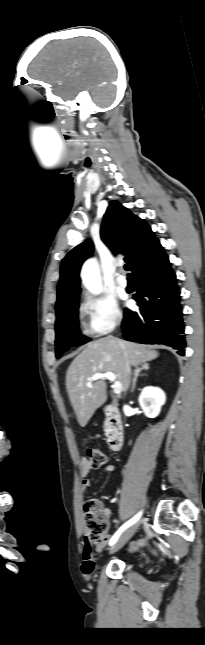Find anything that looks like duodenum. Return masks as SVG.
<instances>
[{
  "label": "duodenum",
  "mask_w": 205,
  "mask_h": 645,
  "mask_svg": "<svg viewBox=\"0 0 205 645\" xmlns=\"http://www.w3.org/2000/svg\"><path fill=\"white\" fill-rule=\"evenodd\" d=\"M104 412L107 417L108 446L112 451H119L124 441V432L120 413L113 405H106Z\"/></svg>",
  "instance_id": "obj_1"
}]
</instances>
